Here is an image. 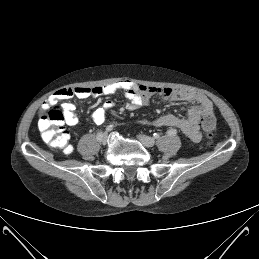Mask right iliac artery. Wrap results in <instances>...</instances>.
<instances>
[{"mask_svg":"<svg viewBox=\"0 0 259 259\" xmlns=\"http://www.w3.org/2000/svg\"><path fill=\"white\" fill-rule=\"evenodd\" d=\"M101 136H102V132H99V133L95 136V139L99 141L100 138H101Z\"/></svg>","mask_w":259,"mask_h":259,"instance_id":"1","label":"right iliac artery"}]
</instances>
